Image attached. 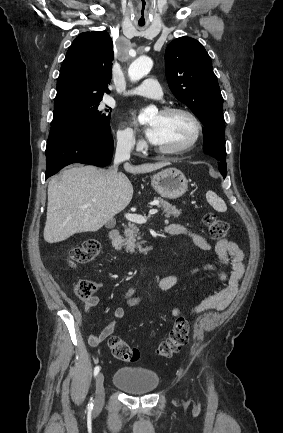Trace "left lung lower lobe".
<instances>
[{"label": "left lung lower lobe", "instance_id": "obj_1", "mask_svg": "<svg viewBox=\"0 0 283 433\" xmlns=\"http://www.w3.org/2000/svg\"><path fill=\"white\" fill-rule=\"evenodd\" d=\"M215 134L213 137H204V152L219 160L218 167L222 176L227 174L225 142L220 141Z\"/></svg>", "mask_w": 283, "mask_h": 433}]
</instances>
